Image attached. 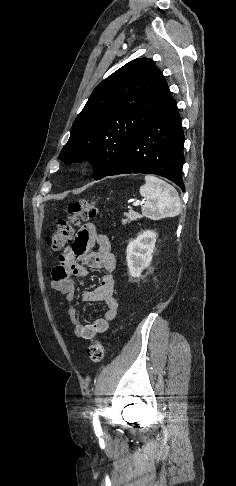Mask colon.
<instances>
[{"mask_svg":"<svg viewBox=\"0 0 236 486\" xmlns=\"http://www.w3.org/2000/svg\"><path fill=\"white\" fill-rule=\"evenodd\" d=\"M99 211L92 201H76L69 205V215L60 219L57 228L52 235L51 245L53 250H60L72 241L74 228L81 222L95 218ZM88 356L94 363H100L104 357V347L101 341L96 340L88 348Z\"/></svg>","mask_w":236,"mask_h":486,"instance_id":"5ec220e1","label":"colon"}]
</instances>
